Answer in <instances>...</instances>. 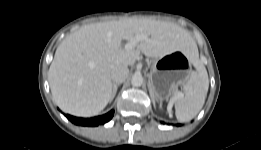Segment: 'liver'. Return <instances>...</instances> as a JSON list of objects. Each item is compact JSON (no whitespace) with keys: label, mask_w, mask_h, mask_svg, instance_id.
Returning <instances> with one entry per match:
<instances>
[{"label":"liver","mask_w":261,"mask_h":150,"mask_svg":"<svg viewBox=\"0 0 261 150\" xmlns=\"http://www.w3.org/2000/svg\"><path fill=\"white\" fill-rule=\"evenodd\" d=\"M142 34L147 39L139 41L136 49L122 46V40ZM195 47L190 34L170 22L123 18L85 25L56 49L48 71L53 98L66 113L97 115L111 98L113 67L133 65L141 53L159 58L182 51L191 58Z\"/></svg>","instance_id":"liver-1"}]
</instances>
